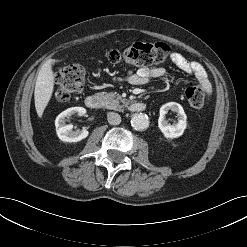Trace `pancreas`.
Here are the masks:
<instances>
[{
    "label": "pancreas",
    "instance_id": "1",
    "mask_svg": "<svg viewBox=\"0 0 247 247\" xmlns=\"http://www.w3.org/2000/svg\"><path fill=\"white\" fill-rule=\"evenodd\" d=\"M98 96L102 100L103 106L107 109L121 110L123 107L129 105V101L117 93L100 92ZM120 103H122V105Z\"/></svg>",
    "mask_w": 247,
    "mask_h": 247
}]
</instances>
